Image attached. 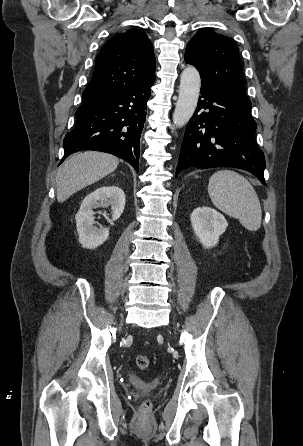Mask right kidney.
I'll return each instance as SVG.
<instances>
[{
	"label": "right kidney",
	"mask_w": 303,
	"mask_h": 446,
	"mask_svg": "<svg viewBox=\"0 0 303 446\" xmlns=\"http://www.w3.org/2000/svg\"><path fill=\"white\" fill-rule=\"evenodd\" d=\"M111 206L112 221L117 220L124 211L125 194L117 186H103L88 194L81 203L75 216L79 243L83 248L94 249L108 238L109 229L97 228L93 209Z\"/></svg>",
	"instance_id": "1"
}]
</instances>
